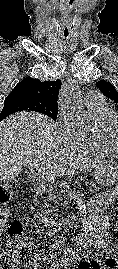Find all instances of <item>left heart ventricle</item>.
Segmentation results:
<instances>
[{
    "label": "left heart ventricle",
    "mask_w": 118,
    "mask_h": 269,
    "mask_svg": "<svg viewBox=\"0 0 118 269\" xmlns=\"http://www.w3.org/2000/svg\"><path fill=\"white\" fill-rule=\"evenodd\" d=\"M115 140H116V143L118 144V126L115 130Z\"/></svg>",
    "instance_id": "left-heart-ventricle-1"
}]
</instances>
